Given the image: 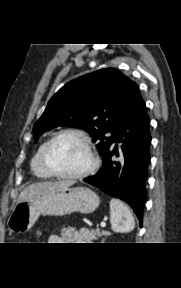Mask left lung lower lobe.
Returning <instances> with one entry per match:
<instances>
[{
	"label": "left lung lower lobe",
	"instance_id": "obj_1",
	"mask_svg": "<svg viewBox=\"0 0 181 288\" xmlns=\"http://www.w3.org/2000/svg\"><path fill=\"white\" fill-rule=\"evenodd\" d=\"M150 119L145 103L137 93L133 104L123 120L109 151L103 155V165L94 176L84 179L92 186L128 203L134 210L140 225L143 222V209L146 200V178L150 161ZM121 143L124 160L112 161L119 157Z\"/></svg>",
	"mask_w": 181,
	"mask_h": 288
}]
</instances>
